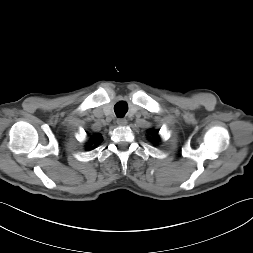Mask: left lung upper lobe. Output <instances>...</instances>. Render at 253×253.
Segmentation results:
<instances>
[{
    "label": "left lung upper lobe",
    "mask_w": 253,
    "mask_h": 253,
    "mask_svg": "<svg viewBox=\"0 0 253 253\" xmlns=\"http://www.w3.org/2000/svg\"><path fill=\"white\" fill-rule=\"evenodd\" d=\"M149 133L153 136V141L156 143L159 140L158 131L150 130Z\"/></svg>",
    "instance_id": "left-lung-upper-lobe-1"
}]
</instances>
